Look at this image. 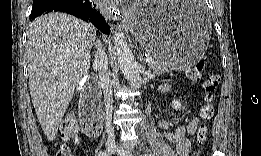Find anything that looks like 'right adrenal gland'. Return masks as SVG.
<instances>
[{"mask_svg":"<svg viewBox=\"0 0 261 156\" xmlns=\"http://www.w3.org/2000/svg\"><path fill=\"white\" fill-rule=\"evenodd\" d=\"M96 43H97V46H101V42H100V40H99V39L97 40V42H96Z\"/></svg>","mask_w":261,"mask_h":156,"instance_id":"obj_1","label":"right adrenal gland"}]
</instances>
